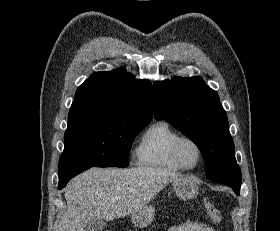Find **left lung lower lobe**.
Here are the masks:
<instances>
[{
    "label": "left lung lower lobe",
    "instance_id": "0a47b994",
    "mask_svg": "<svg viewBox=\"0 0 280 231\" xmlns=\"http://www.w3.org/2000/svg\"><path fill=\"white\" fill-rule=\"evenodd\" d=\"M210 180L229 185L237 195L240 193L241 171L238 166L224 174L213 177Z\"/></svg>",
    "mask_w": 280,
    "mask_h": 231
}]
</instances>
